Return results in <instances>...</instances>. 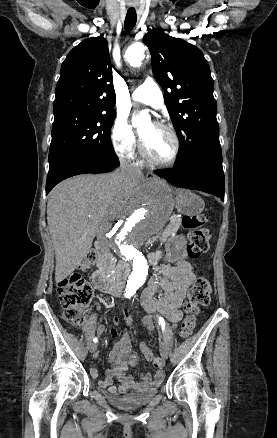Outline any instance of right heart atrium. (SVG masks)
Here are the masks:
<instances>
[{
  "label": "right heart atrium",
  "instance_id": "1",
  "mask_svg": "<svg viewBox=\"0 0 277 438\" xmlns=\"http://www.w3.org/2000/svg\"><path fill=\"white\" fill-rule=\"evenodd\" d=\"M112 142L117 153L127 159L136 154L137 138L127 118L118 114L112 128Z\"/></svg>",
  "mask_w": 277,
  "mask_h": 438
}]
</instances>
